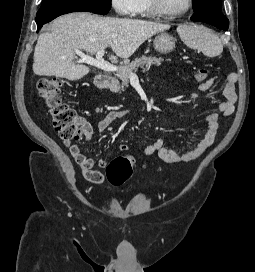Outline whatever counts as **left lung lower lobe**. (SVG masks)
I'll return each instance as SVG.
<instances>
[{
    "mask_svg": "<svg viewBox=\"0 0 255 272\" xmlns=\"http://www.w3.org/2000/svg\"><path fill=\"white\" fill-rule=\"evenodd\" d=\"M190 19L192 21H200L211 24L221 30H227L229 27V20L221 12V9L216 7H208L196 11Z\"/></svg>",
    "mask_w": 255,
    "mask_h": 272,
    "instance_id": "1",
    "label": "left lung lower lobe"
}]
</instances>
